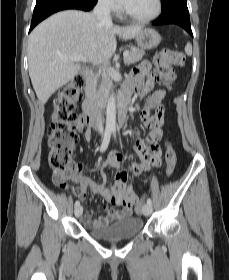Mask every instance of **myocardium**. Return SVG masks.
<instances>
[{
    "label": "myocardium",
    "instance_id": "1",
    "mask_svg": "<svg viewBox=\"0 0 229 280\" xmlns=\"http://www.w3.org/2000/svg\"><path fill=\"white\" fill-rule=\"evenodd\" d=\"M162 11H163L162 0H155V8H154L153 12L148 15H145V16L133 15L126 10L125 6L122 7V12L128 19H130L134 22H137V23H141V24L149 23V22L155 20L156 18H158L161 15Z\"/></svg>",
    "mask_w": 229,
    "mask_h": 280
}]
</instances>
